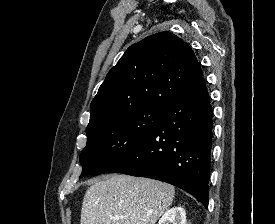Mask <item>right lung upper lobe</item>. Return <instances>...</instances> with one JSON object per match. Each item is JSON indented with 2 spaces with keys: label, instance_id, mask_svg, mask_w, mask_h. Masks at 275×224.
Returning a JSON list of instances; mask_svg holds the SVG:
<instances>
[{
  "label": "right lung upper lobe",
  "instance_id": "1",
  "mask_svg": "<svg viewBox=\"0 0 275 224\" xmlns=\"http://www.w3.org/2000/svg\"><path fill=\"white\" fill-rule=\"evenodd\" d=\"M203 72L191 47L170 32L130 46L108 72L90 105L87 128L145 107L167 109Z\"/></svg>",
  "mask_w": 275,
  "mask_h": 224
}]
</instances>
